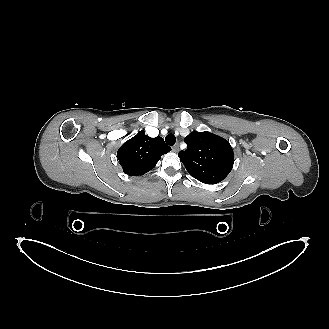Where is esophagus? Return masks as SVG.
<instances>
[{
	"label": "esophagus",
	"instance_id": "obj_1",
	"mask_svg": "<svg viewBox=\"0 0 329 329\" xmlns=\"http://www.w3.org/2000/svg\"><path fill=\"white\" fill-rule=\"evenodd\" d=\"M172 150H173L174 152H179V145L176 144V145L172 146Z\"/></svg>",
	"mask_w": 329,
	"mask_h": 329
}]
</instances>
